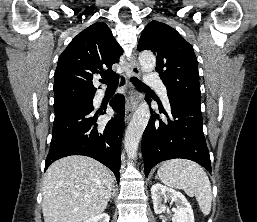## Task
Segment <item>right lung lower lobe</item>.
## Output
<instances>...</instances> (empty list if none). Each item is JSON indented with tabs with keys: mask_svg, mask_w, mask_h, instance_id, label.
Here are the masks:
<instances>
[{
	"mask_svg": "<svg viewBox=\"0 0 257 222\" xmlns=\"http://www.w3.org/2000/svg\"><path fill=\"white\" fill-rule=\"evenodd\" d=\"M124 84V79L121 85ZM116 115L106 125H98V113L75 110L54 119L50 150L45 169L54 161L70 156L92 157L115 174L119 182L121 139L124 130L125 99L117 94L111 101Z\"/></svg>",
	"mask_w": 257,
	"mask_h": 222,
	"instance_id": "1",
	"label": "right lung lower lobe"
}]
</instances>
